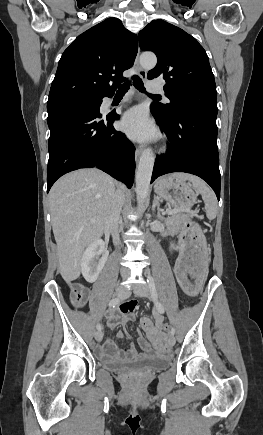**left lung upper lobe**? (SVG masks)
Here are the masks:
<instances>
[{
	"label": "left lung upper lobe",
	"instance_id": "left-lung-upper-lobe-1",
	"mask_svg": "<svg viewBox=\"0 0 263 435\" xmlns=\"http://www.w3.org/2000/svg\"><path fill=\"white\" fill-rule=\"evenodd\" d=\"M142 51H153L157 65L148 79L163 78L169 104L154 103L153 111L170 120L177 113L217 116V91L208 56L197 40L163 20L150 22L139 32Z\"/></svg>",
	"mask_w": 263,
	"mask_h": 435
}]
</instances>
